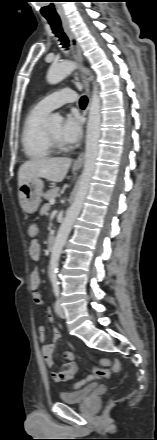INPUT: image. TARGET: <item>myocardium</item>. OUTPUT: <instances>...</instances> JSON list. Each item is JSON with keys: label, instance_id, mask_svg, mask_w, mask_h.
Returning a JSON list of instances; mask_svg holds the SVG:
<instances>
[{"label": "myocardium", "instance_id": "f54148a6", "mask_svg": "<svg viewBox=\"0 0 157 440\" xmlns=\"http://www.w3.org/2000/svg\"><path fill=\"white\" fill-rule=\"evenodd\" d=\"M46 136L53 149L55 150L64 149V143L61 140H58L54 136H52V134L49 132L48 129H46Z\"/></svg>", "mask_w": 157, "mask_h": 440}]
</instances>
